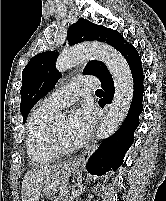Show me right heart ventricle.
Returning a JSON list of instances; mask_svg holds the SVG:
<instances>
[{
    "label": "right heart ventricle",
    "instance_id": "right-heart-ventricle-1",
    "mask_svg": "<svg viewBox=\"0 0 166 201\" xmlns=\"http://www.w3.org/2000/svg\"><path fill=\"white\" fill-rule=\"evenodd\" d=\"M55 110L43 104L31 113L27 124L26 148L31 166L37 167L54 161L58 154L49 139V127Z\"/></svg>",
    "mask_w": 166,
    "mask_h": 201
}]
</instances>
